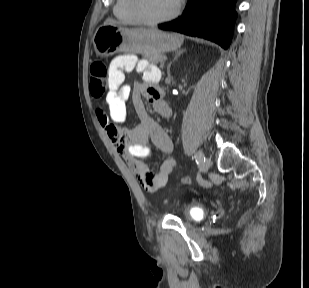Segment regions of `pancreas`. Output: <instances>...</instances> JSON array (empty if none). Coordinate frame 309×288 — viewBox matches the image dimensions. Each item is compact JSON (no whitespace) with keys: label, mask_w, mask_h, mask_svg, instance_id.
<instances>
[{"label":"pancreas","mask_w":309,"mask_h":288,"mask_svg":"<svg viewBox=\"0 0 309 288\" xmlns=\"http://www.w3.org/2000/svg\"><path fill=\"white\" fill-rule=\"evenodd\" d=\"M150 63L152 64H157V63H162L164 60V56L162 54H157V55H150L147 57Z\"/></svg>","instance_id":"cf45deb5"}]
</instances>
